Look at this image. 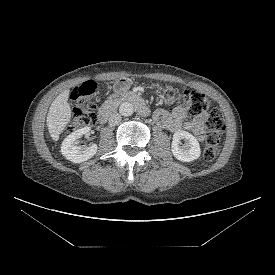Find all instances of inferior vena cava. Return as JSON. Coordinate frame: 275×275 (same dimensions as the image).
Here are the masks:
<instances>
[{
    "mask_svg": "<svg viewBox=\"0 0 275 275\" xmlns=\"http://www.w3.org/2000/svg\"><path fill=\"white\" fill-rule=\"evenodd\" d=\"M120 121H121V115L119 113L115 112L110 115L108 122L111 126H114V125L120 123Z\"/></svg>",
    "mask_w": 275,
    "mask_h": 275,
    "instance_id": "602c4592",
    "label": "inferior vena cava"
}]
</instances>
